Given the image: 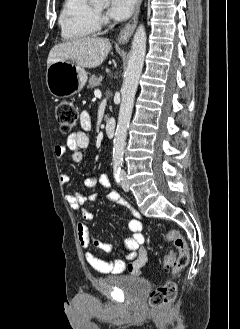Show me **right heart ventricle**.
Masks as SVG:
<instances>
[{"label":"right heart ventricle","instance_id":"right-heart-ventricle-1","mask_svg":"<svg viewBox=\"0 0 240 329\" xmlns=\"http://www.w3.org/2000/svg\"><path fill=\"white\" fill-rule=\"evenodd\" d=\"M58 24L64 41H79L95 35L99 17L89 0H64Z\"/></svg>","mask_w":240,"mask_h":329}]
</instances>
